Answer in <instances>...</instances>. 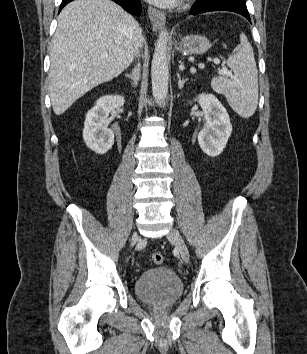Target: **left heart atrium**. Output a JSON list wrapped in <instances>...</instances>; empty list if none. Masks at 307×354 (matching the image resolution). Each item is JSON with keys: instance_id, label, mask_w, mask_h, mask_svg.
<instances>
[{"instance_id": "39dd6f15", "label": "left heart atrium", "mask_w": 307, "mask_h": 354, "mask_svg": "<svg viewBox=\"0 0 307 354\" xmlns=\"http://www.w3.org/2000/svg\"><path fill=\"white\" fill-rule=\"evenodd\" d=\"M149 1L160 6H171L177 2V0H149Z\"/></svg>"}]
</instances>
